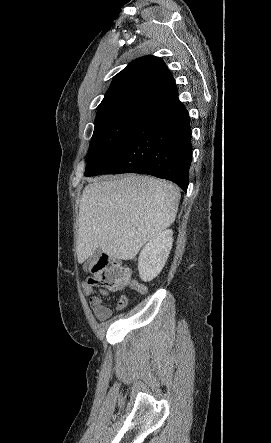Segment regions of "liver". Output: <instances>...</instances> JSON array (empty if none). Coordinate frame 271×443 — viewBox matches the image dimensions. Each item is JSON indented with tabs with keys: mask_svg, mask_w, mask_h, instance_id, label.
I'll list each match as a JSON object with an SVG mask.
<instances>
[{
	"mask_svg": "<svg viewBox=\"0 0 271 443\" xmlns=\"http://www.w3.org/2000/svg\"><path fill=\"white\" fill-rule=\"evenodd\" d=\"M85 186L77 237L79 263L99 247L118 259H133L142 245L175 222L181 194L150 176H105Z\"/></svg>",
	"mask_w": 271,
	"mask_h": 443,
	"instance_id": "6515ba94",
	"label": "liver"
}]
</instances>
